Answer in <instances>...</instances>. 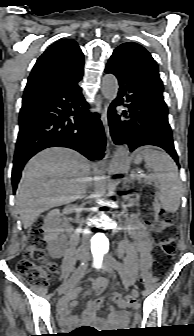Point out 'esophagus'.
Returning a JSON list of instances; mask_svg holds the SVG:
<instances>
[{
  "instance_id": "1",
  "label": "esophagus",
  "mask_w": 194,
  "mask_h": 336,
  "mask_svg": "<svg viewBox=\"0 0 194 336\" xmlns=\"http://www.w3.org/2000/svg\"><path fill=\"white\" fill-rule=\"evenodd\" d=\"M108 107H109V104L106 103L105 106H104V110H103V125H104V128H105V132H106V135L109 139H111V136H110V128H109V125H108Z\"/></svg>"
}]
</instances>
